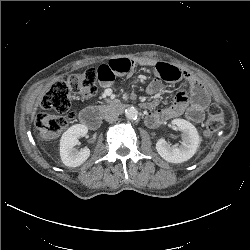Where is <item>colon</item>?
<instances>
[{
	"label": "colon",
	"instance_id": "obj_1",
	"mask_svg": "<svg viewBox=\"0 0 250 250\" xmlns=\"http://www.w3.org/2000/svg\"><path fill=\"white\" fill-rule=\"evenodd\" d=\"M97 69L89 68L81 73L69 76L53 83L42 99L41 105L45 110H55L67 116L52 115L41 112L37 115L35 124L45 140L56 139L64 130L67 122L73 117L70 112L71 98L80 95L91 98L97 92ZM224 126V114L218 105L208 108V116L204 123V135L209 137L220 131Z\"/></svg>",
	"mask_w": 250,
	"mask_h": 250
}]
</instances>
